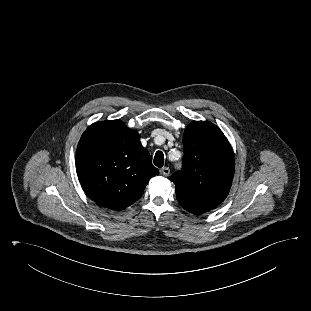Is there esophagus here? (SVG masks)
Here are the masks:
<instances>
[{
	"label": "esophagus",
	"mask_w": 311,
	"mask_h": 311,
	"mask_svg": "<svg viewBox=\"0 0 311 311\" xmlns=\"http://www.w3.org/2000/svg\"><path fill=\"white\" fill-rule=\"evenodd\" d=\"M160 173L163 175V176H169L170 174V169L168 167H163L160 169Z\"/></svg>",
	"instance_id": "1"
}]
</instances>
